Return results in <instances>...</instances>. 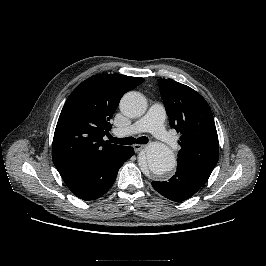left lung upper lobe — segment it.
<instances>
[{"label": "left lung upper lobe", "mask_w": 266, "mask_h": 266, "mask_svg": "<svg viewBox=\"0 0 266 266\" xmlns=\"http://www.w3.org/2000/svg\"><path fill=\"white\" fill-rule=\"evenodd\" d=\"M170 126L181 133L177 167L208 179L219 158L218 135L212 111L192 88L172 80L159 79Z\"/></svg>", "instance_id": "1"}]
</instances>
